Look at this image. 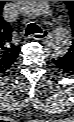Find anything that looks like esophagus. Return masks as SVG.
Wrapping results in <instances>:
<instances>
[{
    "instance_id": "obj_1",
    "label": "esophagus",
    "mask_w": 74,
    "mask_h": 122,
    "mask_svg": "<svg viewBox=\"0 0 74 122\" xmlns=\"http://www.w3.org/2000/svg\"><path fill=\"white\" fill-rule=\"evenodd\" d=\"M48 33L46 31L39 33V34H33L32 38L35 40H44L47 37Z\"/></svg>"
}]
</instances>
